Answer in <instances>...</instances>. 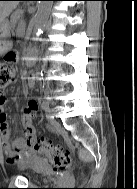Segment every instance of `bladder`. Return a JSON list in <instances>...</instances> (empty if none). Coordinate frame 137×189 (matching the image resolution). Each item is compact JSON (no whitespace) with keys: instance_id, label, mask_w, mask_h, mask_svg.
<instances>
[{"instance_id":"31cf9c89","label":"bladder","mask_w":137,"mask_h":189,"mask_svg":"<svg viewBox=\"0 0 137 189\" xmlns=\"http://www.w3.org/2000/svg\"><path fill=\"white\" fill-rule=\"evenodd\" d=\"M36 164L32 167L31 173L28 175L30 181L36 182L40 180L43 176L49 175L52 173V166L45 160H40L34 162Z\"/></svg>"}]
</instances>
